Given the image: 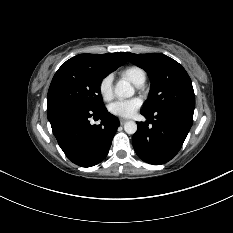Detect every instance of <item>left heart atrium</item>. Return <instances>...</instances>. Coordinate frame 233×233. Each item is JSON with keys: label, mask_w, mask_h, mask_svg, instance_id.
<instances>
[{"label": "left heart atrium", "mask_w": 233, "mask_h": 233, "mask_svg": "<svg viewBox=\"0 0 233 233\" xmlns=\"http://www.w3.org/2000/svg\"><path fill=\"white\" fill-rule=\"evenodd\" d=\"M141 105L142 100L140 98L117 100L108 106V111L112 115L129 118L137 112Z\"/></svg>", "instance_id": "obj_1"}]
</instances>
